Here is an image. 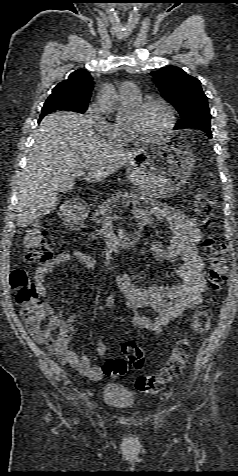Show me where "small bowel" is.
Returning a JSON list of instances; mask_svg holds the SVG:
<instances>
[{"mask_svg": "<svg viewBox=\"0 0 238 476\" xmlns=\"http://www.w3.org/2000/svg\"><path fill=\"white\" fill-rule=\"evenodd\" d=\"M135 217L139 220L141 229L149 227L154 220L165 222L170 231V240L165 244L162 237H157L152 243L153 253L162 261H181L174 270L179 282L171 287L164 286L158 281L148 286H138L127 273L117 276V293L123 298L129 324L135 328L159 333L185 310L195 308L202 302V293L206 289L204 264L200 256L202 232L194 220L166 205H157L148 210L138 209L135 211ZM72 258H76L89 271L96 268V260L86 251L60 252L35 271V287L39 296L47 295L48 274ZM105 304L107 307L116 305L115 293H110L106 297ZM142 308L154 310L156 316L152 318L141 313ZM47 309L51 329L67 328L71 331L69 325L76 320L75 316L64 319L53 314L49 307ZM96 351L99 356L104 357L107 354L106 344L101 340L97 341ZM54 353L62 363L70 365L91 380L98 381L103 377L102 367L91 366L87 356L79 357L67 345Z\"/></svg>", "mask_w": 238, "mask_h": 476, "instance_id": "obj_1", "label": "small bowel"}]
</instances>
